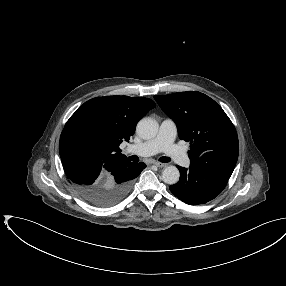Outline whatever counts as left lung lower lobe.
Returning <instances> with one entry per match:
<instances>
[{"label":"left lung lower lobe","mask_w":286,"mask_h":286,"mask_svg":"<svg viewBox=\"0 0 286 286\" xmlns=\"http://www.w3.org/2000/svg\"><path fill=\"white\" fill-rule=\"evenodd\" d=\"M177 167L180 171V180L169 187L170 191L190 205L203 204L214 199L228 182L225 177L211 171L192 166L189 169Z\"/></svg>","instance_id":"1"}]
</instances>
